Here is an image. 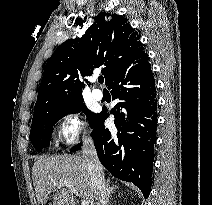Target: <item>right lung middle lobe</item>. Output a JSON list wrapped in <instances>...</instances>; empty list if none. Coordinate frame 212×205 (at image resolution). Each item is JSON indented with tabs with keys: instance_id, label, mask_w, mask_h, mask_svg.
Returning <instances> with one entry per match:
<instances>
[{
	"instance_id": "obj_1",
	"label": "right lung middle lobe",
	"mask_w": 212,
	"mask_h": 205,
	"mask_svg": "<svg viewBox=\"0 0 212 205\" xmlns=\"http://www.w3.org/2000/svg\"><path fill=\"white\" fill-rule=\"evenodd\" d=\"M83 111L93 124L98 114L90 112L83 104V99L69 105H45L34 110L30 140L36 150L42 151L49 146L53 126L62 117L70 113Z\"/></svg>"
}]
</instances>
